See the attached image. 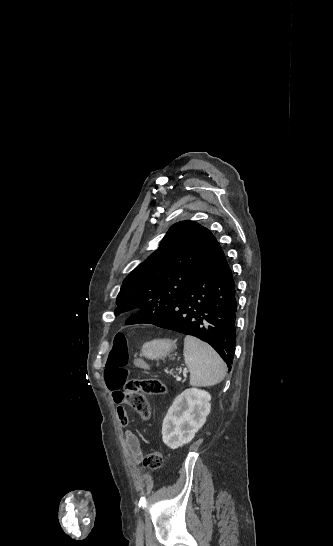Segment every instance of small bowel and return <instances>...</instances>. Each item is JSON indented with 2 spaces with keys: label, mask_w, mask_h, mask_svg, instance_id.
Returning <instances> with one entry per match:
<instances>
[{
  "label": "small bowel",
  "mask_w": 333,
  "mask_h": 546,
  "mask_svg": "<svg viewBox=\"0 0 333 546\" xmlns=\"http://www.w3.org/2000/svg\"><path fill=\"white\" fill-rule=\"evenodd\" d=\"M133 368L135 372H139L141 374L145 373L148 370V363L145 358H141L140 356L136 355L133 357ZM112 399L113 401L118 405L117 408V414L120 418L119 425L121 427H128L130 425V422L128 421L130 418L126 413L125 408L123 407V399H122V391L121 390H115L112 391ZM125 443L126 447L128 449V452L130 454V458L134 463H139L142 459V451L140 447V442L135 434H133L131 431L125 432Z\"/></svg>",
  "instance_id": "1"
}]
</instances>
